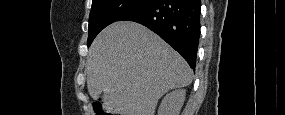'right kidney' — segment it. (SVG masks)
Instances as JSON below:
<instances>
[{
	"mask_svg": "<svg viewBox=\"0 0 285 115\" xmlns=\"http://www.w3.org/2000/svg\"><path fill=\"white\" fill-rule=\"evenodd\" d=\"M185 95L186 90L183 89L168 93L159 106L158 115H179Z\"/></svg>",
	"mask_w": 285,
	"mask_h": 115,
	"instance_id": "1",
	"label": "right kidney"
}]
</instances>
